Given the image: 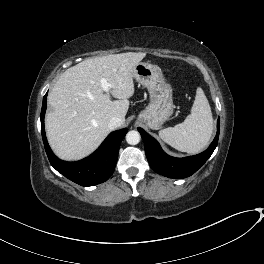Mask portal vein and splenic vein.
I'll return each mask as SVG.
<instances>
[{
  "label": "portal vein and splenic vein",
  "instance_id": "1",
  "mask_svg": "<svg viewBox=\"0 0 264 264\" xmlns=\"http://www.w3.org/2000/svg\"><path fill=\"white\" fill-rule=\"evenodd\" d=\"M100 84H101L103 91L105 92H108L111 88H113V85L109 83L105 78H101Z\"/></svg>",
  "mask_w": 264,
  "mask_h": 264
}]
</instances>
